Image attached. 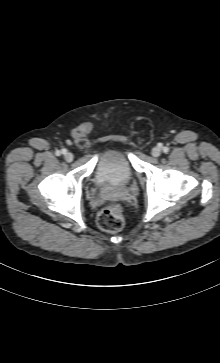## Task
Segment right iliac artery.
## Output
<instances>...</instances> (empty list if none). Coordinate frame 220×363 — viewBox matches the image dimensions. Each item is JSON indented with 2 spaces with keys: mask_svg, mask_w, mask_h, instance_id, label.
<instances>
[{
  "mask_svg": "<svg viewBox=\"0 0 220 363\" xmlns=\"http://www.w3.org/2000/svg\"><path fill=\"white\" fill-rule=\"evenodd\" d=\"M66 149H62L61 151H56V156H60L61 154H65L66 153Z\"/></svg>",
  "mask_w": 220,
  "mask_h": 363,
  "instance_id": "82829eb1",
  "label": "right iliac artery"
}]
</instances>
